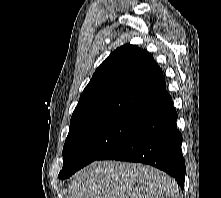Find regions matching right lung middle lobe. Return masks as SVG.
<instances>
[{"mask_svg":"<svg viewBox=\"0 0 221 198\" xmlns=\"http://www.w3.org/2000/svg\"><path fill=\"white\" fill-rule=\"evenodd\" d=\"M142 120L113 116L94 120L69 131L63 147V169L60 179H66L117 145L131 134Z\"/></svg>","mask_w":221,"mask_h":198,"instance_id":"obj_1","label":"right lung middle lobe"}]
</instances>
